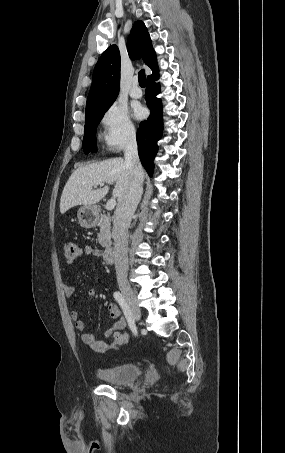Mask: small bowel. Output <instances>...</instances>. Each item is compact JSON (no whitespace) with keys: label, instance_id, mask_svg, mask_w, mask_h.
Returning <instances> with one entry per match:
<instances>
[{"label":"small bowel","instance_id":"obj_1","mask_svg":"<svg viewBox=\"0 0 285 453\" xmlns=\"http://www.w3.org/2000/svg\"><path fill=\"white\" fill-rule=\"evenodd\" d=\"M83 254L84 256L87 257H95L100 255V251L96 248H93L91 246H85L83 249ZM64 294L67 297L73 296L75 292V287L74 285L68 281L64 285ZM89 296H95L96 291L95 290H90L88 292ZM108 311L110 313V316L115 320L114 324L112 327L108 328L104 332V336L106 338L112 336L116 332L123 330L126 327L127 324V319L124 317L117 307V305L113 302L108 304ZM71 318L74 321L75 324V329L80 333L81 336V341L89 348L90 351L94 353H105L109 350L111 347V343L107 341H102V340H96L93 333L86 331L85 329V324L84 322L80 319V314L77 310H72L71 313Z\"/></svg>","mask_w":285,"mask_h":453}]
</instances>
